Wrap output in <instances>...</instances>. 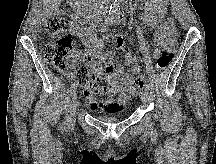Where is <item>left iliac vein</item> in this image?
<instances>
[{
	"instance_id": "1",
	"label": "left iliac vein",
	"mask_w": 216,
	"mask_h": 164,
	"mask_svg": "<svg viewBox=\"0 0 216 164\" xmlns=\"http://www.w3.org/2000/svg\"><path fill=\"white\" fill-rule=\"evenodd\" d=\"M141 99H142L143 105L146 107L147 103H148V100H149V92H148L147 88L144 90Z\"/></svg>"
}]
</instances>
